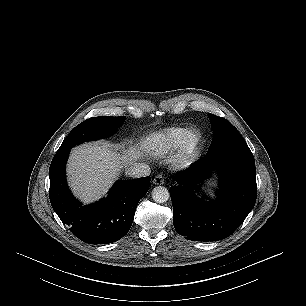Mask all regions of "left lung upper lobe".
<instances>
[{"instance_id": "5c2ea615", "label": "left lung upper lobe", "mask_w": 306, "mask_h": 306, "mask_svg": "<svg viewBox=\"0 0 306 306\" xmlns=\"http://www.w3.org/2000/svg\"><path fill=\"white\" fill-rule=\"evenodd\" d=\"M208 115L213 127V139L208 152L230 147L248 146L238 130L225 118L211 113Z\"/></svg>"}]
</instances>
